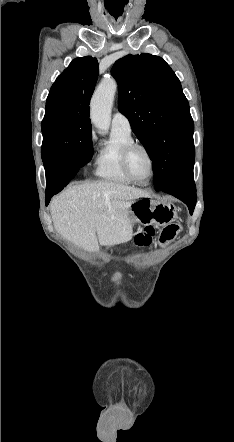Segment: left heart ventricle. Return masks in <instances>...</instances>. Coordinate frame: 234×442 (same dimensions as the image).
I'll list each match as a JSON object with an SVG mask.
<instances>
[{"instance_id":"obj_1","label":"left heart ventricle","mask_w":234,"mask_h":442,"mask_svg":"<svg viewBox=\"0 0 234 442\" xmlns=\"http://www.w3.org/2000/svg\"><path fill=\"white\" fill-rule=\"evenodd\" d=\"M129 166L133 175L140 181H146L151 174L150 161L147 154L140 148H135L129 157Z\"/></svg>"}]
</instances>
